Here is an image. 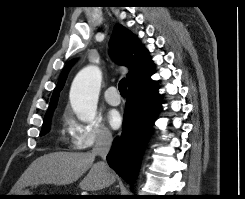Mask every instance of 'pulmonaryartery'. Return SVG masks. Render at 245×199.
Wrapping results in <instances>:
<instances>
[{
  "label": "pulmonary artery",
  "instance_id": "e3ab8cb5",
  "mask_svg": "<svg viewBox=\"0 0 245 199\" xmlns=\"http://www.w3.org/2000/svg\"><path fill=\"white\" fill-rule=\"evenodd\" d=\"M104 98L106 102L112 106H117L121 103V98L118 95L117 88L114 86L106 89V91L104 92Z\"/></svg>",
  "mask_w": 245,
  "mask_h": 199
}]
</instances>
